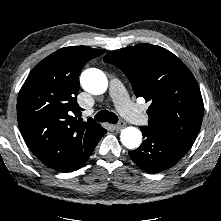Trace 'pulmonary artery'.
Here are the masks:
<instances>
[{"mask_svg": "<svg viewBox=\"0 0 221 221\" xmlns=\"http://www.w3.org/2000/svg\"><path fill=\"white\" fill-rule=\"evenodd\" d=\"M109 94L120 113L126 119L137 125L147 123L146 115L129 100L124 86L118 79L111 80Z\"/></svg>", "mask_w": 221, "mask_h": 221, "instance_id": "e3ab8cb5", "label": "pulmonary artery"}]
</instances>
